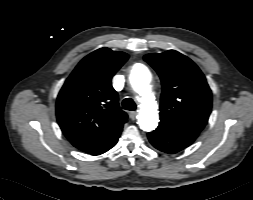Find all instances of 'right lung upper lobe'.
<instances>
[{
  "label": "right lung upper lobe",
  "instance_id": "right-lung-upper-lobe-1",
  "mask_svg": "<svg viewBox=\"0 0 253 200\" xmlns=\"http://www.w3.org/2000/svg\"><path fill=\"white\" fill-rule=\"evenodd\" d=\"M128 57L124 52L100 48L83 58L64 83L56 116L76 148L98 155L117 142L127 114L119 107L111 79Z\"/></svg>",
  "mask_w": 253,
  "mask_h": 200
}]
</instances>
